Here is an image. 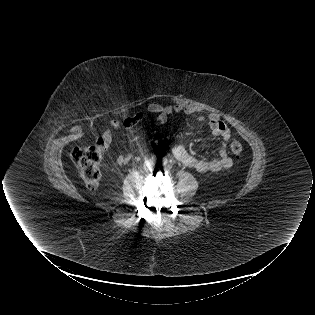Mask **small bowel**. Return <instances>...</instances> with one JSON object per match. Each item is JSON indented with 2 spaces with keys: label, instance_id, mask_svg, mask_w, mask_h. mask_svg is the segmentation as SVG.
I'll use <instances>...</instances> for the list:
<instances>
[{
  "label": "small bowel",
  "instance_id": "small-bowel-1",
  "mask_svg": "<svg viewBox=\"0 0 315 315\" xmlns=\"http://www.w3.org/2000/svg\"><path fill=\"white\" fill-rule=\"evenodd\" d=\"M145 113L152 114L156 117L159 124L166 123L168 117L172 114L183 113L190 115L193 110L181 104L175 105H161L151 103L147 106L145 112L139 111L133 116L125 118L123 121L111 120L107 129L103 132L102 138L105 142L106 150L109 149L113 140V133L119 131L121 128L131 129L145 117ZM196 123H206L213 136L220 138L223 143L218 149V157L213 159H201L192 155L183 145H177L173 148L172 154L174 158L182 163L184 166L192 168L200 173L204 172H217L222 169L231 168L233 161L228 154L227 142L231 137L229 128L220 120L219 116L211 113L208 116H199ZM131 156L129 154H121L116 159L118 166L126 165L130 162Z\"/></svg>",
  "mask_w": 315,
  "mask_h": 315
}]
</instances>
